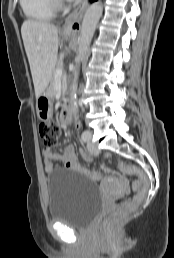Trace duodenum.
<instances>
[{
	"label": "duodenum",
	"mask_w": 174,
	"mask_h": 258,
	"mask_svg": "<svg viewBox=\"0 0 174 258\" xmlns=\"http://www.w3.org/2000/svg\"><path fill=\"white\" fill-rule=\"evenodd\" d=\"M61 119L64 122H69L71 120V105L68 101L64 102L62 106Z\"/></svg>",
	"instance_id": "duodenum-1"
}]
</instances>
